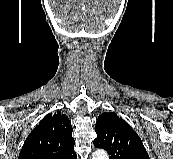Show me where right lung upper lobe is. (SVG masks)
Masks as SVG:
<instances>
[{"mask_svg": "<svg viewBox=\"0 0 173 159\" xmlns=\"http://www.w3.org/2000/svg\"><path fill=\"white\" fill-rule=\"evenodd\" d=\"M69 118L57 111L46 115L27 137L18 159H76Z\"/></svg>", "mask_w": 173, "mask_h": 159, "instance_id": "obj_1", "label": "right lung upper lobe"}]
</instances>
